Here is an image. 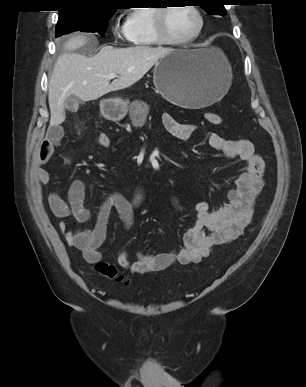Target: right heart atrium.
Listing matches in <instances>:
<instances>
[{
    "label": "right heart atrium",
    "mask_w": 306,
    "mask_h": 387,
    "mask_svg": "<svg viewBox=\"0 0 306 387\" xmlns=\"http://www.w3.org/2000/svg\"><path fill=\"white\" fill-rule=\"evenodd\" d=\"M113 34H114L117 38H123V37H126L125 26L115 25V26L113 27Z\"/></svg>",
    "instance_id": "right-heart-atrium-1"
}]
</instances>
